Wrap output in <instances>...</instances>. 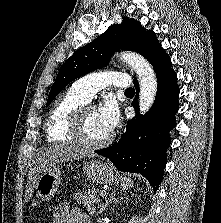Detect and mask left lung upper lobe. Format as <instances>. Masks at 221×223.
<instances>
[{
	"instance_id": "5c2ea615",
	"label": "left lung upper lobe",
	"mask_w": 221,
	"mask_h": 223,
	"mask_svg": "<svg viewBox=\"0 0 221 223\" xmlns=\"http://www.w3.org/2000/svg\"><path fill=\"white\" fill-rule=\"evenodd\" d=\"M120 49L140 53L152 66L164 51L153 31H146L135 19L124 17L121 24L111 25L94 41L77 50L66 60L51 87L46 106L50 105L68 83L104 67L112 54Z\"/></svg>"
}]
</instances>
